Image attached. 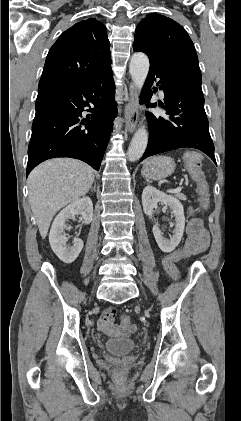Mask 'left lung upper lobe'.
I'll return each instance as SVG.
<instances>
[{
	"label": "left lung upper lobe",
	"instance_id": "obj_1",
	"mask_svg": "<svg viewBox=\"0 0 241 421\" xmlns=\"http://www.w3.org/2000/svg\"><path fill=\"white\" fill-rule=\"evenodd\" d=\"M134 48L146 53L150 61L201 76L192 40L181 25L166 16L152 13L142 19L136 28Z\"/></svg>",
	"mask_w": 241,
	"mask_h": 421
}]
</instances>
